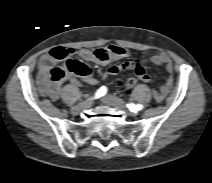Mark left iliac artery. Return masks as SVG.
I'll return each instance as SVG.
<instances>
[{
	"label": "left iliac artery",
	"mask_w": 212,
	"mask_h": 183,
	"mask_svg": "<svg viewBox=\"0 0 212 183\" xmlns=\"http://www.w3.org/2000/svg\"><path fill=\"white\" fill-rule=\"evenodd\" d=\"M127 107L129 108V110L131 112H137V111L142 110L144 108L143 105H141V104L135 105L133 103L127 104Z\"/></svg>",
	"instance_id": "left-iliac-artery-1"
}]
</instances>
